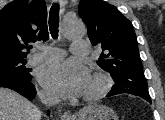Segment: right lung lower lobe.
Instances as JSON below:
<instances>
[{"label": "right lung lower lobe", "mask_w": 165, "mask_h": 120, "mask_svg": "<svg viewBox=\"0 0 165 120\" xmlns=\"http://www.w3.org/2000/svg\"><path fill=\"white\" fill-rule=\"evenodd\" d=\"M0 87L12 89L29 100L34 99L36 96V90L31 81L0 77Z\"/></svg>", "instance_id": "right-lung-lower-lobe-1"}]
</instances>
